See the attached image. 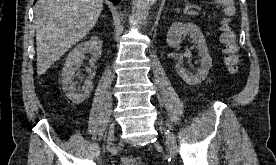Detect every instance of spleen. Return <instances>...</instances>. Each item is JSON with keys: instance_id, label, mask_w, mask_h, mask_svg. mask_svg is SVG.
<instances>
[{"instance_id": "spleen-1", "label": "spleen", "mask_w": 276, "mask_h": 165, "mask_svg": "<svg viewBox=\"0 0 276 165\" xmlns=\"http://www.w3.org/2000/svg\"><path fill=\"white\" fill-rule=\"evenodd\" d=\"M216 4L223 5L226 16H233L235 15V7H234V0H215Z\"/></svg>"}]
</instances>
